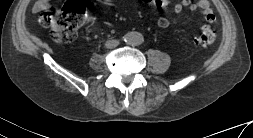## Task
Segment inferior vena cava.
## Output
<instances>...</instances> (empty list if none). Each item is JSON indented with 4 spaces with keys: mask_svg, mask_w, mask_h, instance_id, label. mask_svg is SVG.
Here are the masks:
<instances>
[{
    "mask_svg": "<svg viewBox=\"0 0 253 138\" xmlns=\"http://www.w3.org/2000/svg\"><path fill=\"white\" fill-rule=\"evenodd\" d=\"M119 45V41L116 39L108 40L105 44L106 48L112 49Z\"/></svg>",
    "mask_w": 253,
    "mask_h": 138,
    "instance_id": "inferior-vena-cava-1",
    "label": "inferior vena cava"
}]
</instances>
